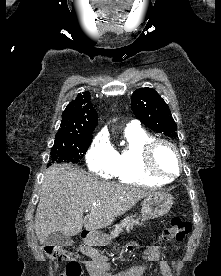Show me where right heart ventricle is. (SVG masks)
I'll list each match as a JSON object with an SVG mask.
<instances>
[{"label":"right heart ventricle","instance_id":"1","mask_svg":"<svg viewBox=\"0 0 221 276\" xmlns=\"http://www.w3.org/2000/svg\"><path fill=\"white\" fill-rule=\"evenodd\" d=\"M125 143L116 152V164L113 175L122 183L134 185H159L165 180L149 176L142 165L143 145L153 136L140 127H127L124 131Z\"/></svg>","mask_w":221,"mask_h":276}]
</instances>
